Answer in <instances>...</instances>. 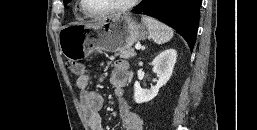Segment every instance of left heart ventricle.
<instances>
[{"instance_id":"b2bd125f","label":"left heart ventricle","mask_w":257,"mask_h":130,"mask_svg":"<svg viewBox=\"0 0 257 130\" xmlns=\"http://www.w3.org/2000/svg\"><path fill=\"white\" fill-rule=\"evenodd\" d=\"M127 0H85L86 6L93 12H102L125 3Z\"/></svg>"}]
</instances>
